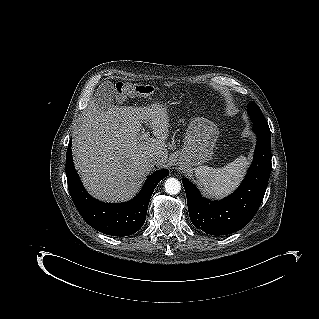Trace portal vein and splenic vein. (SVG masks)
I'll return each mask as SVG.
<instances>
[{
  "mask_svg": "<svg viewBox=\"0 0 319 319\" xmlns=\"http://www.w3.org/2000/svg\"><path fill=\"white\" fill-rule=\"evenodd\" d=\"M148 136H149V132H143V134L140 136V139L145 140L148 138Z\"/></svg>",
  "mask_w": 319,
  "mask_h": 319,
  "instance_id": "portal-vein-and-splenic-vein-1",
  "label": "portal vein and splenic vein"
}]
</instances>
